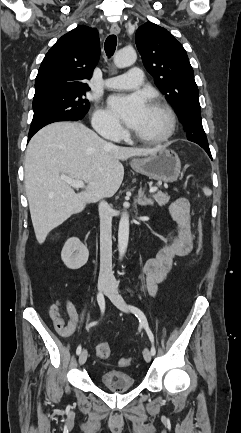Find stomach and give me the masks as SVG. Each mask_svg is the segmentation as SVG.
<instances>
[{"label":"stomach","instance_id":"1","mask_svg":"<svg viewBox=\"0 0 241 433\" xmlns=\"http://www.w3.org/2000/svg\"><path fill=\"white\" fill-rule=\"evenodd\" d=\"M131 167L150 179L166 183L175 182L181 173V162L173 151L162 148L146 158L134 159Z\"/></svg>","mask_w":241,"mask_h":433}]
</instances>
